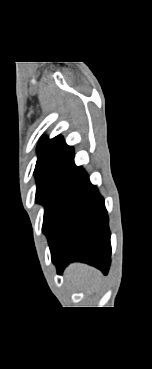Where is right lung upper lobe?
I'll list each match as a JSON object with an SVG mask.
<instances>
[{
  "label": "right lung upper lobe",
  "instance_id": "obj_1",
  "mask_svg": "<svg viewBox=\"0 0 152 369\" xmlns=\"http://www.w3.org/2000/svg\"><path fill=\"white\" fill-rule=\"evenodd\" d=\"M37 152L38 159L35 169L54 165L74 164V149L66 145L61 135L51 140L43 138Z\"/></svg>",
  "mask_w": 152,
  "mask_h": 369
}]
</instances>
